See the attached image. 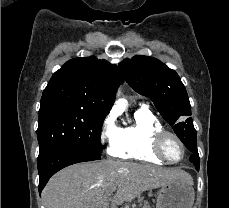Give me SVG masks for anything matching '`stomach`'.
<instances>
[{
    "mask_svg": "<svg viewBox=\"0 0 229 208\" xmlns=\"http://www.w3.org/2000/svg\"><path fill=\"white\" fill-rule=\"evenodd\" d=\"M195 192L188 182H168L158 192L156 208H192Z\"/></svg>",
    "mask_w": 229,
    "mask_h": 208,
    "instance_id": "obj_1",
    "label": "stomach"
}]
</instances>
